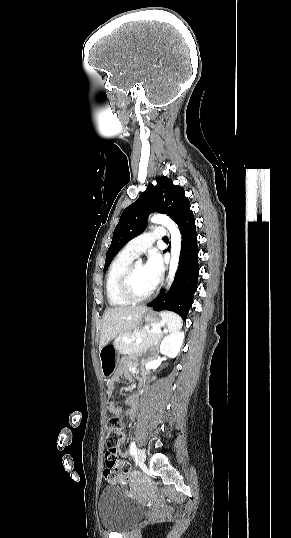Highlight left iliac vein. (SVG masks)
Masks as SVG:
<instances>
[{
	"mask_svg": "<svg viewBox=\"0 0 291 538\" xmlns=\"http://www.w3.org/2000/svg\"><path fill=\"white\" fill-rule=\"evenodd\" d=\"M146 459V454H145V451L143 449H138V452H137V460L139 463H144Z\"/></svg>",
	"mask_w": 291,
	"mask_h": 538,
	"instance_id": "left-iliac-vein-1",
	"label": "left iliac vein"
}]
</instances>
